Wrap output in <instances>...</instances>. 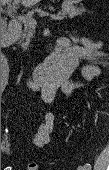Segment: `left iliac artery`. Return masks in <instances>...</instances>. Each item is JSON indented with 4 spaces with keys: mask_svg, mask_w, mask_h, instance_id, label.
I'll list each match as a JSON object with an SVG mask.
<instances>
[{
    "mask_svg": "<svg viewBox=\"0 0 109 170\" xmlns=\"http://www.w3.org/2000/svg\"><path fill=\"white\" fill-rule=\"evenodd\" d=\"M82 170H91V165H90V164H85V165L82 167Z\"/></svg>",
    "mask_w": 109,
    "mask_h": 170,
    "instance_id": "44dca946",
    "label": "left iliac artery"
}]
</instances>
